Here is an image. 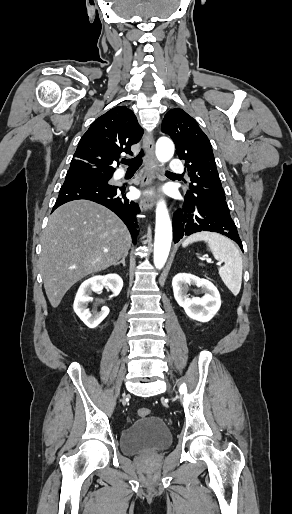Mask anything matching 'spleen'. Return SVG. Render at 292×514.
I'll return each mask as SVG.
<instances>
[{"instance_id": "obj_1", "label": "spleen", "mask_w": 292, "mask_h": 514, "mask_svg": "<svg viewBox=\"0 0 292 514\" xmlns=\"http://www.w3.org/2000/svg\"><path fill=\"white\" fill-rule=\"evenodd\" d=\"M193 242H206L215 260L224 262L219 268V276L222 278L228 290L237 296L241 290L243 262L241 254L235 244L216 232H197L184 240L182 246L186 248Z\"/></svg>"}]
</instances>
